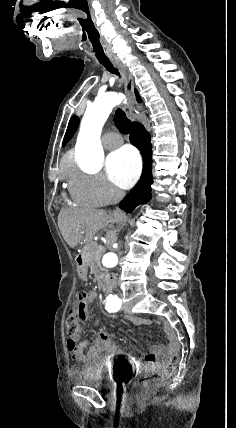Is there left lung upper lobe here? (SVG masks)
I'll return each mask as SVG.
<instances>
[{
  "instance_id": "obj_1",
  "label": "left lung upper lobe",
  "mask_w": 236,
  "mask_h": 428,
  "mask_svg": "<svg viewBox=\"0 0 236 428\" xmlns=\"http://www.w3.org/2000/svg\"><path fill=\"white\" fill-rule=\"evenodd\" d=\"M78 124H79V118L76 115L72 116V118L69 121L67 131L63 140V146L72 138L73 134L77 130Z\"/></svg>"
}]
</instances>
